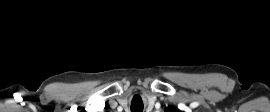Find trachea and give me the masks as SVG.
I'll return each instance as SVG.
<instances>
[{
    "mask_svg": "<svg viewBox=\"0 0 270 112\" xmlns=\"http://www.w3.org/2000/svg\"><path fill=\"white\" fill-rule=\"evenodd\" d=\"M143 102L140 97L136 96L133 98L131 103V112H142Z\"/></svg>",
    "mask_w": 270,
    "mask_h": 112,
    "instance_id": "3493384b",
    "label": "trachea"
}]
</instances>
